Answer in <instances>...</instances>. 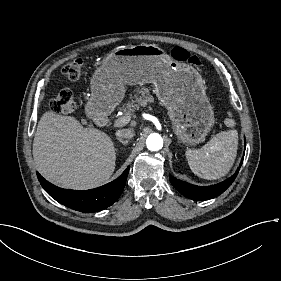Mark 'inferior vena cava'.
Here are the masks:
<instances>
[{
	"label": "inferior vena cava",
	"mask_w": 281,
	"mask_h": 281,
	"mask_svg": "<svg viewBox=\"0 0 281 281\" xmlns=\"http://www.w3.org/2000/svg\"><path fill=\"white\" fill-rule=\"evenodd\" d=\"M135 134L134 129L128 128V129H121L116 131V135L119 138L127 139L133 137Z\"/></svg>",
	"instance_id": "obj_1"
}]
</instances>
